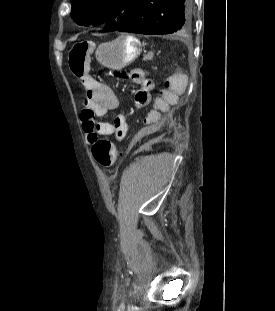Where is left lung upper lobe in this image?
<instances>
[{
    "mask_svg": "<svg viewBox=\"0 0 275 311\" xmlns=\"http://www.w3.org/2000/svg\"><path fill=\"white\" fill-rule=\"evenodd\" d=\"M141 1L71 0V16L79 25L104 24L108 31H114L135 14Z\"/></svg>",
    "mask_w": 275,
    "mask_h": 311,
    "instance_id": "left-lung-upper-lobe-1",
    "label": "left lung upper lobe"
}]
</instances>
